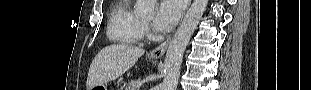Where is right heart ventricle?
<instances>
[{
    "label": "right heart ventricle",
    "instance_id": "obj_1",
    "mask_svg": "<svg viewBox=\"0 0 311 90\" xmlns=\"http://www.w3.org/2000/svg\"><path fill=\"white\" fill-rule=\"evenodd\" d=\"M108 37L122 44H136L142 37V21L128 1H119L111 10Z\"/></svg>",
    "mask_w": 311,
    "mask_h": 90
}]
</instances>
